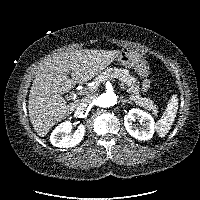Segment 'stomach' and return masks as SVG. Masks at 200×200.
I'll list each match as a JSON object with an SVG mask.
<instances>
[{"label": "stomach", "mask_w": 200, "mask_h": 200, "mask_svg": "<svg viewBox=\"0 0 200 200\" xmlns=\"http://www.w3.org/2000/svg\"><path fill=\"white\" fill-rule=\"evenodd\" d=\"M117 61L126 68L134 69V72L141 77H147L149 73V66L145 57L137 50L122 49L117 56Z\"/></svg>", "instance_id": "1"}]
</instances>
